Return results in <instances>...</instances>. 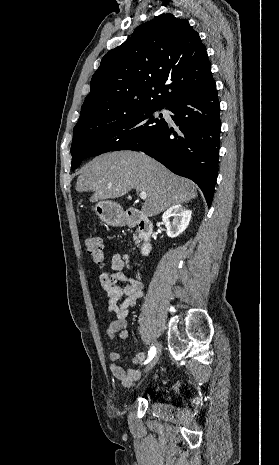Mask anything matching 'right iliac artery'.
<instances>
[{
    "label": "right iliac artery",
    "instance_id": "82829eb1",
    "mask_svg": "<svg viewBox=\"0 0 279 465\" xmlns=\"http://www.w3.org/2000/svg\"><path fill=\"white\" fill-rule=\"evenodd\" d=\"M155 353H156V348H155L154 346H152V347L150 348L149 352H148L149 357H148V359L144 362V364H147V363L154 357Z\"/></svg>",
    "mask_w": 279,
    "mask_h": 465
}]
</instances>
